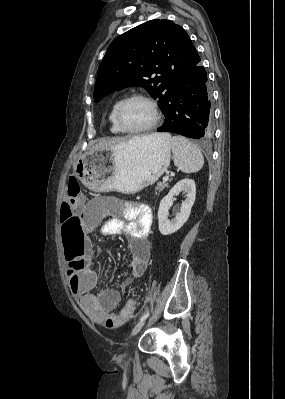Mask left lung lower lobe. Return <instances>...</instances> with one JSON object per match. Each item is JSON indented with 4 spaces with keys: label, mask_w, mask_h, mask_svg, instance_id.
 <instances>
[{
    "label": "left lung lower lobe",
    "mask_w": 285,
    "mask_h": 399,
    "mask_svg": "<svg viewBox=\"0 0 285 399\" xmlns=\"http://www.w3.org/2000/svg\"><path fill=\"white\" fill-rule=\"evenodd\" d=\"M158 132L205 140L213 134L211 95L206 70L197 60L175 81Z\"/></svg>",
    "instance_id": "0a47b994"
}]
</instances>
